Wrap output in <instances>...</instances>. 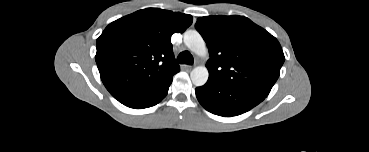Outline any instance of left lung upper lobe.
Segmentation results:
<instances>
[{
  "mask_svg": "<svg viewBox=\"0 0 369 152\" xmlns=\"http://www.w3.org/2000/svg\"><path fill=\"white\" fill-rule=\"evenodd\" d=\"M209 49V79L267 96L285 57L277 39L243 16H206L195 25Z\"/></svg>",
  "mask_w": 369,
  "mask_h": 152,
  "instance_id": "left-lung-upper-lobe-1",
  "label": "left lung upper lobe"
}]
</instances>
